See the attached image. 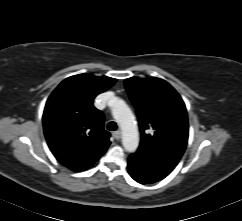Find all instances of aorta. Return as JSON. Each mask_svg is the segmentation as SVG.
Instances as JSON below:
<instances>
[{
  "label": "aorta",
  "mask_w": 242,
  "mask_h": 221,
  "mask_svg": "<svg viewBox=\"0 0 242 221\" xmlns=\"http://www.w3.org/2000/svg\"><path fill=\"white\" fill-rule=\"evenodd\" d=\"M112 114L121 127L123 147L128 152H135L139 145V133L131 109L123 100L116 99Z\"/></svg>",
  "instance_id": "1"
}]
</instances>
